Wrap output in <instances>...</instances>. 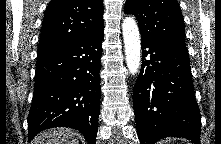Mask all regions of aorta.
I'll return each instance as SVG.
<instances>
[{
  "label": "aorta",
  "instance_id": "762f6f07",
  "mask_svg": "<svg viewBox=\"0 0 221 144\" xmlns=\"http://www.w3.org/2000/svg\"><path fill=\"white\" fill-rule=\"evenodd\" d=\"M122 30L127 67L129 72L134 75L140 67L141 60V44L138 26L132 17H127L123 21Z\"/></svg>",
  "mask_w": 221,
  "mask_h": 144
}]
</instances>
